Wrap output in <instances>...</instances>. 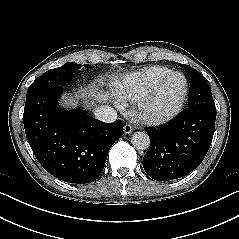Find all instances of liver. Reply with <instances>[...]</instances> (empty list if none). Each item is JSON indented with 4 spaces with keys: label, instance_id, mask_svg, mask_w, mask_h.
Returning <instances> with one entry per match:
<instances>
[{
    "label": "liver",
    "instance_id": "obj_1",
    "mask_svg": "<svg viewBox=\"0 0 239 239\" xmlns=\"http://www.w3.org/2000/svg\"><path fill=\"white\" fill-rule=\"evenodd\" d=\"M97 90H98V89H94V90H92V92H90V93L81 92V93H79L78 95H76V99H78L79 97L84 98V99H87V98H89L90 96H91V97H96V100H97L98 102H105V101H107V100L110 99L111 96H110L109 93L103 94V93L98 92ZM95 92H97V93H95ZM68 100H69L70 102L73 101L71 98L68 99Z\"/></svg>",
    "mask_w": 239,
    "mask_h": 239
}]
</instances>
